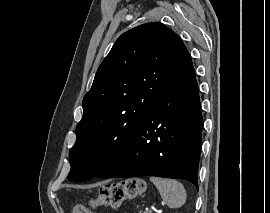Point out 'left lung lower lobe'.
<instances>
[{"instance_id":"left-lung-lower-lobe-1","label":"left lung lower lobe","mask_w":270,"mask_h":213,"mask_svg":"<svg viewBox=\"0 0 270 213\" xmlns=\"http://www.w3.org/2000/svg\"><path fill=\"white\" fill-rule=\"evenodd\" d=\"M202 126L198 85L190 66L109 162L95 166L91 177L158 176L184 179L198 187Z\"/></svg>"}]
</instances>
